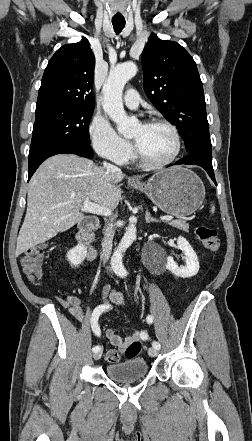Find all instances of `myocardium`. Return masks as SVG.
Instances as JSON below:
<instances>
[{
    "instance_id": "obj_1",
    "label": "myocardium",
    "mask_w": 252,
    "mask_h": 441,
    "mask_svg": "<svg viewBox=\"0 0 252 441\" xmlns=\"http://www.w3.org/2000/svg\"><path fill=\"white\" fill-rule=\"evenodd\" d=\"M143 125L144 126H164L167 129H169L174 137L175 148H174L172 155L167 160L162 161V162H151L148 159H146L144 157V155L141 153V151L138 149V147L136 145H134L135 156H136L137 160L139 161V163L143 167L148 168V169H162V168H165V167L171 165L179 156V154L181 152V148H182L181 136H180V133H179L178 129L176 128V126H174L169 121H167L165 119H160V118L150 119V120L146 121Z\"/></svg>"
}]
</instances>
